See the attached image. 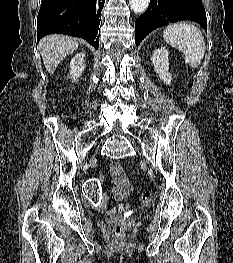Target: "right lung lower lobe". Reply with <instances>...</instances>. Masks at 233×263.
I'll use <instances>...</instances> for the list:
<instances>
[{"mask_svg":"<svg viewBox=\"0 0 233 263\" xmlns=\"http://www.w3.org/2000/svg\"><path fill=\"white\" fill-rule=\"evenodd\" d=\"M105 0H42L37 17V42L45 35L62 33L81 37L94 48Z\"/></svg>","mask_w":233,"mask_h":263,"instance_id":"98d812e1","label":"right lung lower lobe"}]
</instances>
